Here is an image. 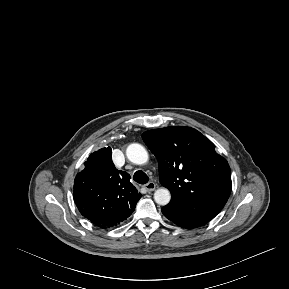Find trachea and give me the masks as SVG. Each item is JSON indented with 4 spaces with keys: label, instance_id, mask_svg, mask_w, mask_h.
I'll return each instance as SVG.
<instances>
[{
    "label": "trachea",
    "instance_id": "1",
    "mask_svg": "<svg viewBox=\"0 0 289 289\" xmlns=\"http://www.w3.org/2000/svg\"><path fill=\"white\" fill-rule=\"evenodd\" d=\"M133 180L139 184H146L149 178L143 171L139 170L134 173Z\"/></svg>",
    "mask_w": 289,
    "mask_h": 289
}]
</instances>
